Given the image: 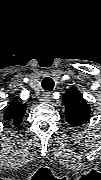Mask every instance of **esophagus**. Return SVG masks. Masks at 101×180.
Segmentation results:
<instances>
[{"label": "esophagus", "instance_id": "34e87169", "mask_svg": "<svg viewBox=\"0 0 101 180\" xmlns=\"http://www.w3.org/2000/svg\"><path fill=\"white\" fill-rule=\"evenodd\" d=\"M50 100H51V95L49 92H44L40 97V101L43 103H49Z\"/></svg>", "mask_w": 101, "mask_h": 180}]
</instances>
